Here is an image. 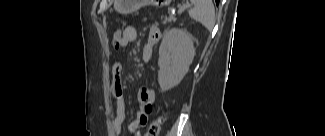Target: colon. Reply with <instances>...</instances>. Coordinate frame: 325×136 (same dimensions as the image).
Masks as SVG:
<instances>
[{
	"label": "colon",
	"mask_w": 325,
	"mask_h": 136,
	"mask_svg": "<svg viewBox=\"0 0 325 136\" xmlns=\"http://www.w3.org/2000/svg\"><path fill=\"white\" fill-rule=\"evenodd\" d=\"M125 26L117 27L114 30V46L118 49L121 45V41L123 39V32ZM164 118L158 117L154 120L148 127V130L144 134V136H158L161 130V126L163 123Z\"/></svg>",
	"instance_id": "obj_1"
}]
</instances>
